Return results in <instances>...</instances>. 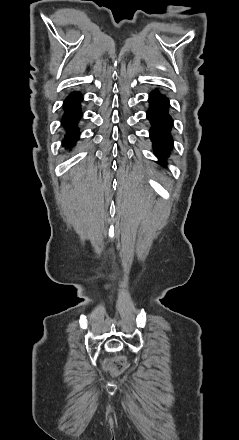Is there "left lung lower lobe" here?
Masks as SVG:
<instances>
[{
  "label": "left lung lower lobe",
  "mask_w": 239,
  "mask_h": 440,
  "mask_svg": "<svg viewBox=\"0 0 239 440\" xmlns=\"http://www.w3.org/2000/svg\"><path fill=\"white\" fill-rule=\"evenodd\" d=\"M149 103L150 109L147 112V118L152 124L150 137L154 144L155 154L163 163L173 146V140L169 133L173 120L167 113L169 101L166 96L153 91L150 93Z\"/></svg>",
  "instance_id": "0a47b994"
}]
</instances>
